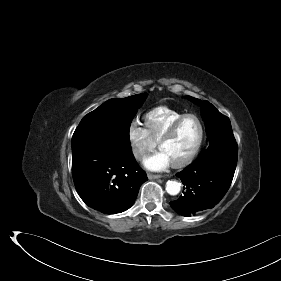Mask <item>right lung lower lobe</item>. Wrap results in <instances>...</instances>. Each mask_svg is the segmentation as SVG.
<instances>
[{
    "label": "right lung lower lobe",
    "instance_id": "right-lung-lower-lobe-1",
    "mask_svg": "<svg viewBox=\"0 0 281 281\" xmlns=\"http://www.w3.org/2000/svg\"><path fill=\"white\" fill-rule=\"evenodd\" d=\"M72 175L81 199L105 214L131 207L141 184L148 180L131 147L76 152L72 154Z\"/></svg>",
    "mask_w": 281,
    "mask_h": 281
}]
</instances>
